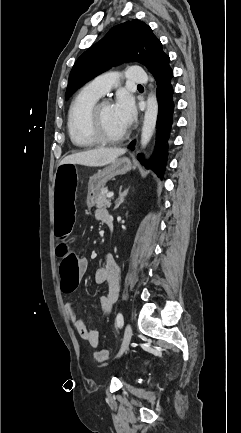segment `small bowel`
Here are the masks:
<instances>
[{"label":"small bowel","instance_id":"1","mask_svg":"<svg viewBox=\"0 0 241 433\" xmlns=\"http://www.w3.org/2000/svg\"><path fill=\"white\" fill-rule=\"evenodd\" d=\"M108 216L110 215L105 208L101 207L95 210V218L98 221L104 222V218ZM79 265L80 270L84 272L87 268L86 260L80 258ZM94 280L97 284H106L107 286V293L100 297L99 305L101 310L108 314L111 312L120 291V267L118 262L112 256L106 255L103 265L98 267L95 271ZM66 312L80 337L91 347L96 348L99 343V332L87 328L83 320L79 317L74 302L71 301L66 304Z\"/></svg>","mask_w":241,"mask_h":433}]
</instances>
